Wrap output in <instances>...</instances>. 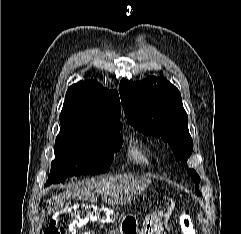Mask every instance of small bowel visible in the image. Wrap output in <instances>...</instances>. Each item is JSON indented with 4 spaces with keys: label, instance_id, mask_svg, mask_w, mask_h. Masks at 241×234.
Instances as JSON below:
<instances>
[{
    "label": "small bowel",
    "instance_id": "1",
    "mask_svg": "<svg viewBox=\"0 0 241 234\" xmlns=\"http://www.w3.org/2000/svg\"><path fill=\"white\" fill-rule=\"evenodd\" d=\"M81 234H93V233H91V232H89V231H84V232H82ZM111 234H118L117 232H112Z\"/></svg>",
    "mask_w": 241,
    "mask_h": 234
}]
</instances>
